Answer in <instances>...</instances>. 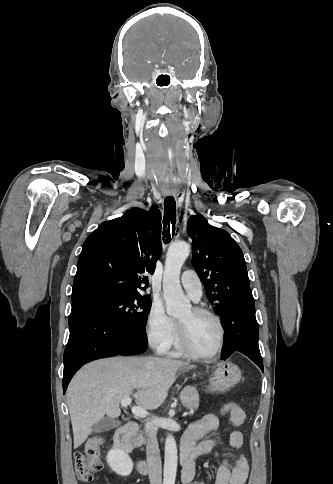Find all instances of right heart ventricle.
Masks as SVG:
<instances>
[{"label": "right heart ventricle", "mask_w": 333, "mask_h": 484, "mask_svg": "<svg viewBox=\"0 0 333 484\" xmlns=\"http://www.w3.org/2000/svg\"><path fill=\"white\" fill-rule=\"evenodd\" d=\"M166 354L172 357H179L185 354V351L181 347V344L179 342V337H178V331H177V324L175 323V331H174V337L173 341L170 345V347L165 351Z\"/></svg>", "instance_id": "right-heart-ventricle-1"}]
</instances>
